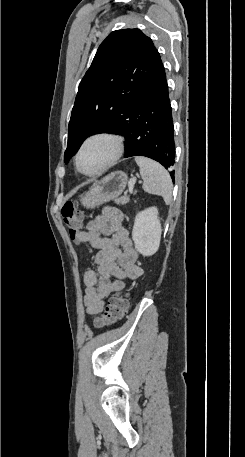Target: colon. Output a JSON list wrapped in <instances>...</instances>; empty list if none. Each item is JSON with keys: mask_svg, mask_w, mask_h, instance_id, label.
Wrapping results in <instances>:
<instances>
[{"mask_svg": "<svg viewBox=\"0 0 245 457\" xmlns=\"http://www.w3.org/2000/svg\"><path fill=\"white\" fill-rule=\"evenodd\" d=\"M61 215L72 239H76L81 227V212L74 201L66 202L62 209ZM128 307V294H121L113 298L103 314L96 316L93 325L97 328H104L120 321Z\"/></svg>", "mask_w": 245, "mask_h": 457, "instance_id": "5ec220e1", "label": "colon"}]
</instances>
